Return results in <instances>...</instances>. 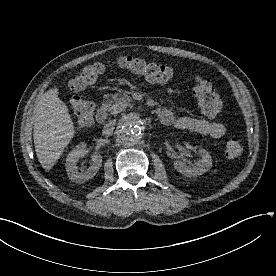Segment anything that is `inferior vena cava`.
Listing matches in <instances>:
<instances>
[{
    "instance_id": "inferior-vena-cava-1",
    "label": "inferior vena cava",
    "mask_w": 276,
    "mask_h": 276,
    "mask_svg": "<svg viewBox=\"0 0 276 276\" xmlns=\"http://www.w3.org/2000/svg\"><path fill=\"white\" fill-rule=\"evenodd\" d=\"M114 126H115V121L109 122L108 124L105 125V128H104V130H103V133H104L105 135H111L112 132H113Z\"/></svg>"
}]
</instances>
